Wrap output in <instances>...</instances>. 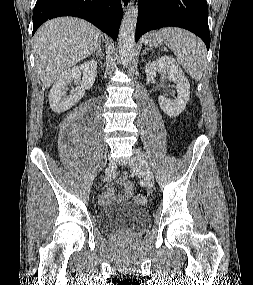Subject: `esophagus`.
<instances>
[{
	"label": "esophagus",
	"mask_w": 253,
	"mask_h": 285,
	"mask_svg": "<svg viewBox=\"0 0 253 285\" xmlns=\"http://www.w3.org/2000/svg\"><path fill=\"white\" fill-rule=\"evenodd\" d=\"M122 7L124 10H127L131 5V0H121Z\"/></svg>",
	"instance_id": "1"
}]
</instances>
